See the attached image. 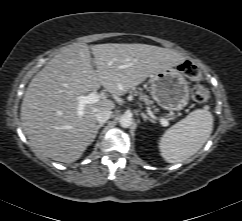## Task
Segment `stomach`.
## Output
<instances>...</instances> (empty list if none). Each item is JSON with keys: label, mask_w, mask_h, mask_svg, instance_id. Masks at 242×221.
<instances>
[{"label": "stomach", "mask_w": 242, "mask_h": 221, "mask_svg": "<svg viewBox=\"0 0 242 221\" xmlns=\"http://www.w3.org/2000/svg\"><path fill=\"white\" fill-rule=\"evenodd\" d=\"M150 89L153 99L163 109L176 111L188 104V82L177 68L169 67L153 74Z\"/></svg>", "instance_id": "0dacf381"}]
</instances>
